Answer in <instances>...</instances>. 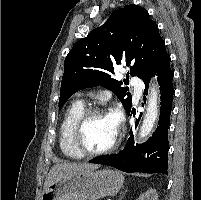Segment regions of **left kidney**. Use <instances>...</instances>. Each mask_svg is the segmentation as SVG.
<instances>
[{"mask_svg": "<svg viewBox=\"0 0 201 200\" xmlns=\"http://www.w3.org/2000/svg\"><path fill=\"white\" fill-rule=\"evenodd\" d=\"M136 200H158V194L155 189H149L145 193H143L138 199Z\"/></svg>", "mask_w": 201, "mask_h": 200, "instance_id": "1", "label": "left kidney"}]
</instances>
